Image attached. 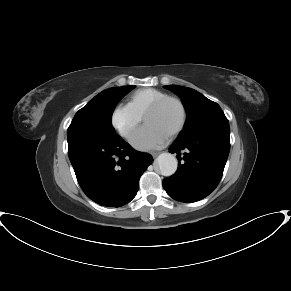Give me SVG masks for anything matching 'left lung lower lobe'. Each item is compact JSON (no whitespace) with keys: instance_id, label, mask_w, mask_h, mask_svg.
<instances>
[{"instance_id":"obj_1","label":"left lung lower lobe","mask_w":291,"mask_h":291,"mask_svg":"<svg viewBox=\"0 0 291 291\" xmlns=\"http://www.w3.org/2000/svg\"><path fill=\"white\" fill-rule=\"evenodd\" d=\"M229 136L230 127L222 126L175 140L169 152L177 154L178 170L163 180L167 194L185 203L208 196L222 177L230 150ZM181 152H184L182 158Z\"/></svg>"}]
</instances>
